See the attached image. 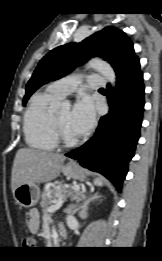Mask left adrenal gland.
<instances>
[{"label":"left adrenal gland","instance_id":"1","mask_svg":"<svg viewBox=\"0 0 162 261\" xmlns=\"http://www.w3.org/2000/svg\"><path fill=\"white\" fill-rule=\"evenodd\" d=\"M79 196L81 198H78L77 200H83V206H82V210L80 212L81 216L86 217L87 216V210H88V205L90 204L91 201L97 199L100 197L99 192H96L94 194H90V195H85V194H79Z\"/></svg>","mask_w":162,"mask_h":261}]
</instances>
